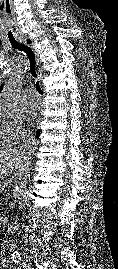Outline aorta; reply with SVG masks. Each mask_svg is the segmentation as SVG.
<instances>
[{"mask_svg": "<svg viewBox=\"0 0 118 269\" xmlns=\"http://www.w3.org/2000/svg\"><path fill=\"white\" fill-rule=\"evenodd\" d=\"M22 77L14 76L8 83L7 87L4 90L3 97L0 101V107L5 109H10L18 96V93L21 88ZM28 190L26 183L21 182L13 190V198L16 201H24L27 199Z\"/></svg>", "mask_w": 118, "mask_h": 269, "instance_id": "obj_1", "label": "aorta"}]
</instances>
